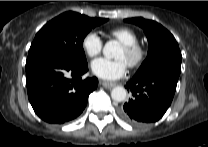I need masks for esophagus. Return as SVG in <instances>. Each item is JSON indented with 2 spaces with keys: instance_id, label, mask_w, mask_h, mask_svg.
<instances>
[{
  "instance_id": "esophagus-1",
  "label": "esophagus",
  "mask_w": 208,
  "mask_h": 147,
  "mask_svg": "<svg viewBox=\"0 0 208 147\" xmlns=\"http://www.w3.org/2000/svg\"><path fill=\"white\" fill-rule=\"evenodd\" d=\"M100 84L102 86H104L105 88H109V89H111V88L116 86V83L108 82V81H100Z\"/></svg>"
}]
</instances>
